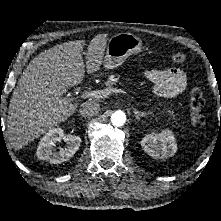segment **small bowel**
Returning a JSON list of instances; mask_svg holds the SVG:
<instances>
[{
	"mask_svg": "<svg viewBox=\"0 0 221 221\" xmlns=\"http://www.w3.org/2000/svg\"><path fill=\"white\" fill-rule=\"evenodd\" d=\"M144 77L154 84L152 93L160 98H173L184 92L187 78L179 69L156 70L149 69L143 73Z\"/></svg>",
	"mask_w": 221,
	"mask_h": 221,
	"instance_id": "small-bowel-1",
	"label": "small bowel"
}]
</instances>
